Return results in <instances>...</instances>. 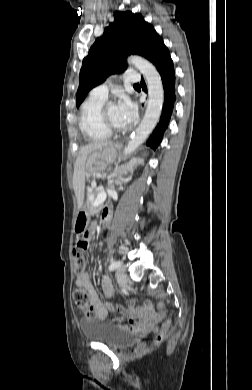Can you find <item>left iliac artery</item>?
I'll return each instance as SVG.
<instances>
[{"instance_id":"44dca946","label":"left iliac artery","mask_w":252,"mask_h":390,"mask_svg":"<svg viewBox=\"0 0 252 390\" xmlns=\"http://www.w3.org/2000/svg\"><path fill=\"white\" fill-rule=\"evenodd\" d=\"M121 266V262L120 261H113L110 266H109V270L110 271H113L115 269H117L118 267Z\"/></svg>"}]
</instances>
